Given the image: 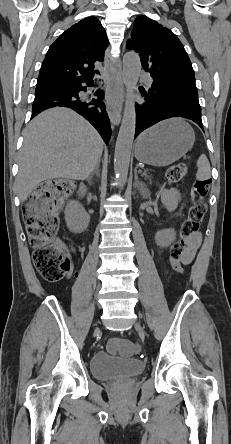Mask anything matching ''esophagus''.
<instances>
[{
    "label": "esophagus",
    "mask_w": 231,
    "mask_h": 444,
    "mask_svg": "<svg viewBox=\"0 0 231 444\" xmlns=\"http://www.w3.org/2000/svg\"><path fill=\"white\" fill-rule=\"evenodd\" d=\"M106 63L109 68L114 64L115 71L110 76L109 88L106 91V110L113 126L119 125L121 121L122 102H123V82L120 62L112 60L110 50L106 51Z\"/></svg>",
    "instance_id": "esophagus-1"
}]
</instances>
